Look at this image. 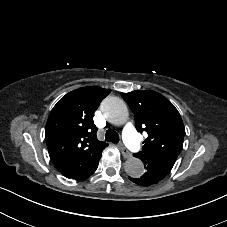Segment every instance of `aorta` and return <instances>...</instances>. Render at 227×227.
<instances>
[{
  "label": "aorta",
  "mask_w": 227,
  "mask_h": 227,
  "mask_svg": "<svg viewBox=\"0 0 227 227\" xmlns=\"http://www.w3.org/2000/svg\"><path fill=\"white\" fill-rule=\"evenodd\" d=\"M101 111L104 117L115 125L124 124L128 120V108L125 102L114 96H109L101 103ZM126 173L133 178L141 177L144 172V164L138 158L131 157L125 162Z\"/></svg>",
  "instance_id": "aorta-1"
}]
</instances>
